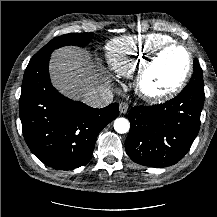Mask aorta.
Returning a JSON list of instances; mask_svg holds the SVG:
<instances>
[{
    "mask_svg": "<svg viewBox=\"0 0 217 217\" xmlns=\"http://www.w3.org/2000/svg\"><path fill=\"white\" fill-rule=\"evenodd\" d=\"M114 129L120 134L127 133L130 129V123L126 118H117L114 121Z\"/></svg>",
    "mask_w": 217,
    "mask_h": 217,
    "instance_id": "aorta-1",
    "label": "aorta"
}]
</instances>
